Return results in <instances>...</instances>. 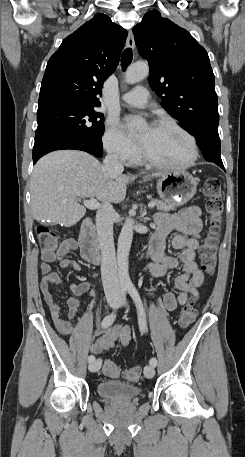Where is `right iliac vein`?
<instances>
[{"mask_svg": "<svg viewBox=\"0 0 245 457\" xmlns=\"http://www.w3.org/2000/svg\"><path fill=\"white\" fill-rule=\"evenodd\" d=\"M118 301H119L118 297H116V296H111V297L109 298V300H108V304H109V306H110L111 308H114V307L117 306ZM101 365H102V360H101V359H97V360H94L93 362H91V363L89 364V367H88V368H89V370H90L91 372H96V371H98V370L100 369Z\"/></svg>", "mask_w": 245, "mask_h": 457, "instance_id": "63e3f726", "label": "right iliac vein"}]
</instances>
